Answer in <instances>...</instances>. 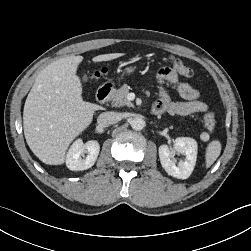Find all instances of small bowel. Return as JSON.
<instances>
[{
    "label": "small bowel",
    "mask_w": 251,
    "mask_h": 251,
    "mask_svg": "<svg viewBox=\"0 0 251 251\" xmlns=\"http://www.w3.org/2000/svg\"><path fill=\"white\" fill-rule=\"evenodd\" d=\"M159 83L158 99L153 105L154 114L168 113L174 115H190L207 110L208 106L199 100V91L187 82L179 80L178 74L169 68H163L158 72ZM174 85L179 95L184 99L181 102H172L163 88V83Z\"/></svg>",
    "instance_id": "obj_1"
}]
</instances>
